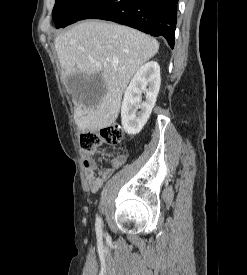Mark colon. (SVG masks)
<instances>
[{
    "label": "colon",
    "mask_w": 247,
    "mask_h": 275,
    "mask_svg": "<svg viewBox=\"0 0 247 275\" xmlns=\"http://www.w3.org/2000/svg\"><path fill=\"white\" fill-rule=\"evenodd\" d=\"M123 139V131L118 125H110L99 130L84 131L79 136L81 149L95 151L102 144L116 145Z\"/></svg>",
    "instance_id": "1"
}]
</instances>
